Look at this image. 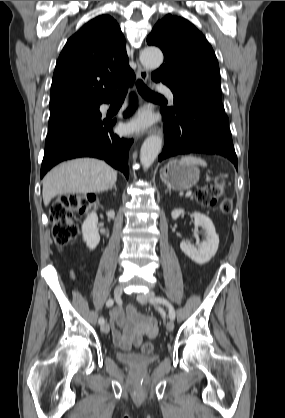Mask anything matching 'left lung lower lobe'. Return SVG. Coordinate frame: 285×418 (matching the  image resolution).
Masks as SVG:
<instances>
[{"label":"left lung lower lobe","instance_id":"left-lung-lower-lobe-1","mask_svg":"<svg viewBox=\"0 0 285 418\" xmlns=\"http://www.w3.org/2000/svg\"><path fill=\"white\" fill-rule=\"evenodd\" d=\"M165 145L158 160L187 153L222 155L238 166L237 156L224 112L192 105L170 115L161 111Z\"/></svg>","mask_w":285,"mask_h":418}]
</instances>
